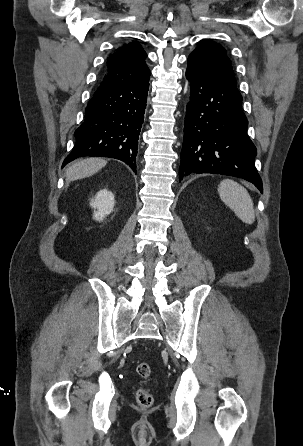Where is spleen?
Instances as JSON below:
<instances>
[{
	"instance_id": "3e777b00",
	"label": "spleen",
	"mask_w": 303,
	"mask_h": 446,
	"mask_svg": "<svg viewBox=\"0 0 303 446\" xmlns=\"http://www.w3.org/2000/svg\"><path fill=\"white\" fill-rule=\"evenodd\" d=\"M218 192L221 200L234 211L236 216L246 224L255 220L253 201L248 191L231 179L221 181Z\"/></svg>"
}]
</instances>
